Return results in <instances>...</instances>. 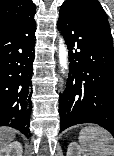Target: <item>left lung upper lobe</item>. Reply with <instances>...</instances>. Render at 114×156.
<instances>
[{
	"instance_id": "5c2ea615",
	"label": "left lung upper lobe",
	"mask_w": 114,
	"mask_h": 156,
	"mask_svg": "<svg viewBox=\"0 0 114 156\" xmlns=\"http://www.w3.org/2000/svg\"><path fill=\"white\" fill-rule=\"evenodd\" d=\"M64 3H70L82 7L84 10L92 13L96 18L102 20L109 26L106 13L97 0H67Z\"/></svg>"
}]
</instances>
